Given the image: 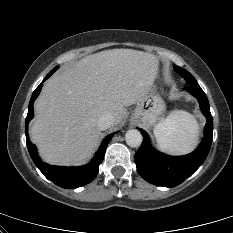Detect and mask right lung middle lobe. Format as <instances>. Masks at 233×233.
<instances>
[{"label":"right lung middle lobe","mask_w":233,"mask_h":233,"mask_svg":"<svg viewBox=\"0 0 233 233\" xmlns=\"http://www.w3.org/2000/svg\"><path fill=\"white\" fill-rule=\"evenodd\" d=\"M57 69H58V67H55L52 71H54V72H55Z\"/></svg>","instance_id":"dd1d6c3e"}]
</instances>
